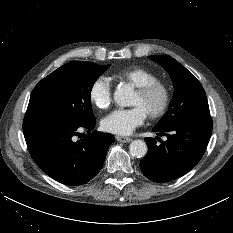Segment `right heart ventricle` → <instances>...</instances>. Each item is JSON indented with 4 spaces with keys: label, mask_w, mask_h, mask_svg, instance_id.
Wrapping results in <instances>:
<instances>
[{
    "label": "right heart ventricle",
    "mask_w": 233,
    "mask_h": 233,
    "mask_svg": "<svg viewBox=\"0 0 233 233\" xmlns=\"http://www.w3.org/2000/svg\"><path fill=\"white\" fill-rule=\"evenodd\" d=\"M115 76L120 80L129 82L136 88L158 80V76L154 72L140 66L125 68L117 72Z\"/></svg>",
    "instance_id": "right-heart-ventricle-1"
}]
</instances>
